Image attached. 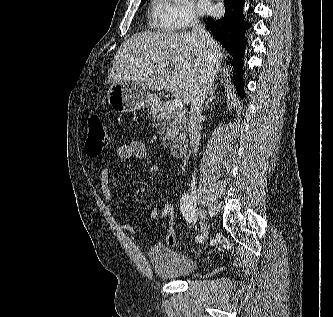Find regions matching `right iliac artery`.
<instances>
[{"label": "right iliac artery", "instance_id": "obj_1", "mask_svg": "<svg viewBox=\"0 0 333 317\" xmlns=\"http://www.w3.org/2000/svg\"><path fill=\"white\" fill-rule=\"evenodd\" d=\"M180 209H181L182 215L186 219V221H188L189 223L196 222V214H195L192 199L186 193L183 194V196L181 198ZM196 241L202 242V237L200 235H198L196 237Z\"/></svg>", "mask_w": 333, "mask_h": 317}]
</instances>
